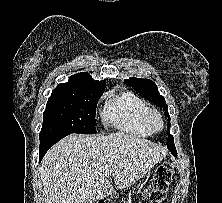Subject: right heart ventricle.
Segmentation results:
<instances>
[{"instance_id": "1", "label": "right heart ventricle", "mask_w": 222, "mask_h": 203, "mask_svg": "<svg viewBox=\"0 0 222 203\" xmlns=\"http://www.w3.org/2000/svg\"><path fill=\"white\" fill-rule=\"evenodd\" d=\"M146 103L132 92H111L107 96L102 117L105 124L118 131L139 137L152 134L145 123Z\"/></svg>"}]
</instances>
